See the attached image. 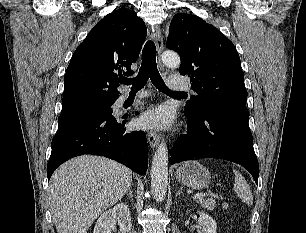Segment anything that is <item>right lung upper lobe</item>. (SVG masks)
<instances>
[{"instance_id": "cb5924a9", "label": "right lung upper lobe", "mask_w": 306, "mask_h": 233, "mask_svg": "<svg viewBox=\"0 0 306 233\" xmlns=\"http://www.w3.org/2000/svg\"><path fill=\"white\" fill-rule=\"evenodd\" d=\"M147 29L134 11L106 15L75 50L64 78L62 104L116 101L118 75H132Z\"/></svg>"}]
</instances>
